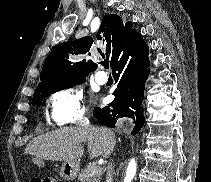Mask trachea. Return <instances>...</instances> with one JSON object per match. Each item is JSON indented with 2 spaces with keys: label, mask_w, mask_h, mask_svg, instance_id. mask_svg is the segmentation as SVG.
I'll use <instances>...</instances> for the list:
<instances>
[{
  "label": "trachea",
  "mask_w": 211,
  "mask_h": 182,
  "mask_svg": "<svg viewBox=\"0 0 211 182\" xmlns=\"http://www.w3.org/2000/svg\"><path fill=\"white\" fill-rule=\"evenodd\" d=\"M102 65L108 69L109 68V61L108 60H104V62H102Z\"/></svg>",
  "instance_id": "3493384b"
}]
</instances>
